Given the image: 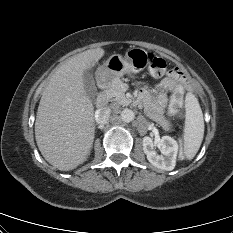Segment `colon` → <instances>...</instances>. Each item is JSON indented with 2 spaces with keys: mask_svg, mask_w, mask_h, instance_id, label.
<instances>
[{
  "mask_svg": "<svg viewBox=\"0 0 233 233\" xmlns=\"http://www.w3.org/2000/svg\"><path fill=\"white\" fill-rule=\"evenodd\" d=\"M147 62L149 73L152 76L162 77L166 73L167 63L163 58L156 55H148ZM182 103L183 88L179 86L174 90V93L170 98L168 113L170 115L176 114L182 107ZM178 157L180 160H183L185 158V154L181 151Z\"/></svg>",
  "mask_w": 233,
  "mask_h": 233,
  "instance_id": "1",
  "label": "colon"
}]
</instances>
